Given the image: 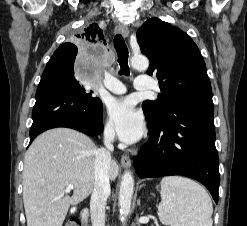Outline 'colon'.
Wrapping results in <instances>:
<instances>
[{
  "label": "colon",
  "mask_w": 247,
  "mask_h": 226,
  "mask_svg": "<svg viewBox=\"0 0 247 226\" xmlns=\"http://www.w3.org/2000/svg\"><path fill=\"white\" fill-rule=\"evenodd\" d=\"M65 226H81V222L77 217H73L66 222Z\"/></svg>",
  "instance_id": "5ec220e1"
}]
</instances>
